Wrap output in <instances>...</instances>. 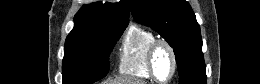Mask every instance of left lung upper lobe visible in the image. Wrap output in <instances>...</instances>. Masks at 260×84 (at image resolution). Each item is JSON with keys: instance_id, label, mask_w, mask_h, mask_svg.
Returning a JSON list of instances; mask_svg holds the SVG:
<instances>
[{"instance_id": "obj_1", "label": "left lung upper lobe", "mask_w": 260, "mask_h": 84, "mask_svg": "<svg viewBox=\"0 0 260 84\" xmlns=\"http://www.w3.org/2000/svg\"><path fill=\"white\" fill-rule=\"evenodd\" d=\"M136 22L150 26L174 49L179 84H206L200 27L185 0H128Z\"/></svg>"}]
</instances>
